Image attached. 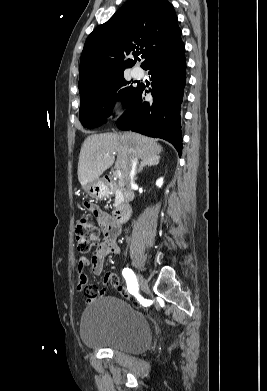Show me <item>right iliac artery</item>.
I'll use <instances>...</instances> for the list:
<instances>
[{
    "mask_svg": "<svg viewBox=\"0 0 267 391\" xmlns=\"http://www.w3.org/2000/svg\"><path fill=\"white\" fill-rule=\"evenodd\" d=\"M122 274L127 282L128 291L131 294H136L138 292V283L134 272L129 268H124Z\"/></svg>",
    "mask_w": 267,
    "mask_h": 391,
    "instance_id": "1",
    "label": "right iliac artery"
}]
</instances>
